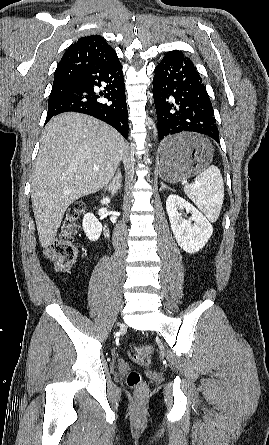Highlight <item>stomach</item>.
Wrapping results in <instances>:
<instances>
[{"label":"stomach","instance_id":"stomach-1","mask_svg":"<svg viewBox=\"0 0 269 445\" xmlns=\"http://www.w3.org/2000/svg\"><path fill=\"white\" fill-rule=\"evenodd\" d=\"M177 143L180 151L172 156L163 153V145ZM159 175L162 180L177 183L203 171L211 162L213 147L200 135L184 133L166 138L160 147Z\"/></svg>","mask_w":269,"mask_h":445}]
</instances>
